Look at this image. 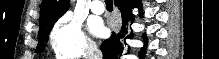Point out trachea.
<instances>
[{
	"label": "trachea",
	"mask_w": 219,
	"mask_h": 59,
	"mask_svg": "<svg viewBox=\"0 0 219 59\" xmlns=\"http://www.w3.org/2000/svg\"><path fill=\"white\" fill-rule=\"evenodd\" d=\"M105 4H106L107 8H111L112 9V5H113L112 0H105Z\"/></svg>",
	"instance_id": "trachea-1"
}]
</instances>
